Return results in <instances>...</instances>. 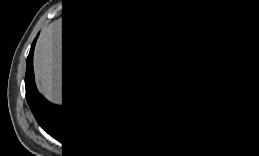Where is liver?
I'll return each mask as SVG.
<instances>
[{"instance_id": "6515ba94", "label": "liver", "mask_w": 259, "mask_h": 156, "mask_svg": "<svg viewBox=\"0 0 259 156\" xmlns=\"http://www.w3.org/2000/svg\"><path fill=\"white\" fill-rule=\"evenodd\" d=\"M61 30L62 22L59 20L50 27L43 43L42 40L38 42L34 56L37 87L55 102L60 101Z\"/></svg>"}]
</instances>
